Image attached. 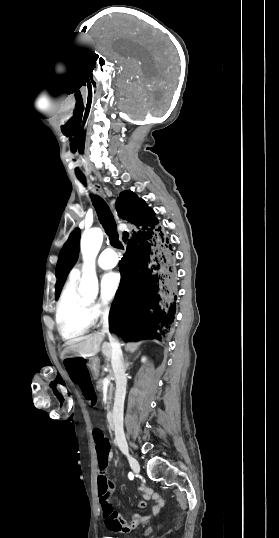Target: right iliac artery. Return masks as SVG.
Returning <instances> with one entry per match:
<instances>
[{"mask_svg":"<svg viewBox=\"0 0 279 538\" xmlns=\"http://www.w3.org/2000/svg\"><path fill=\"white\" fill-rule=\"evenodd\" d=\"M128 477H129V479H130V480H133V478H134V475H133V473H132V472H130V473L128 474Z\"/></svg>","mask_w":279,"mask_h":538,"instance_id":"1","label":"right iliac artery"}]
</instances>
